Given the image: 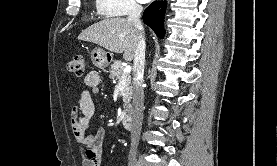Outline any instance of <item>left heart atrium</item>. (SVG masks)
<instances>
[{"instance_id": "left-heart-atrium-1", "label": "left heart atrium", "mask_w": 277, "mask_h": 166, "mask_svg": "<svg viewBox=\"0 0 277 166\" xmlns=\"http://www.w3.org/2000/svg\"><path fill=\"white\" fill-rule=\"evenodd\" d=\"M140 1L141 3H146V2H149L150 0H138Z\"/></svg>"}]
</instances>
